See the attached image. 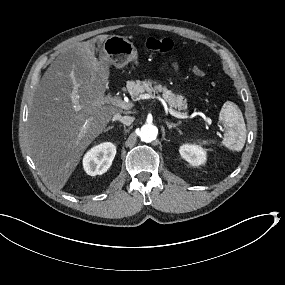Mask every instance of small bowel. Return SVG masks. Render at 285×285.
Here are the masks:
<instances>
[{
  "label": "small bowel",
  "instance_id": "1",
  "mask_svg": "<svg viewBox=\"0 0 285 285\" xmlns=\"http://www.w3.org/2000/svg\"><path fill=\"white\" fill-rule=\"evenodd\" d=\"M174 68H177L178 66L176 64L173 65Z\"/></svg>",
  "mask_w": 285,
  "mask_h": 285
}]
</instances>
